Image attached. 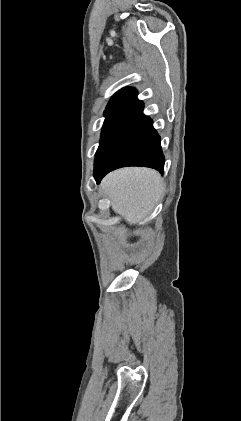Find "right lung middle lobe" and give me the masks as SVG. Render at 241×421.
Returning <instances> with one entry per match:
<instances>
[{
	"label": "right lung middle lobe",
	"mask_w": 241,
	"mask_h": 421,
	"mask_svg": "<svg viewBox=\"0 0 241 421\" xmlns=\"http://www.w3.org/2000/svg\"><path fill=\"white\" fill-rule=\"evenodd\" d=\"M131 110L132 106H120L105 110L106 118L102 129L101 142L95 156V164L117 136Z\"/></svg>",
	"instance_id": "1"
}]
</instances>
